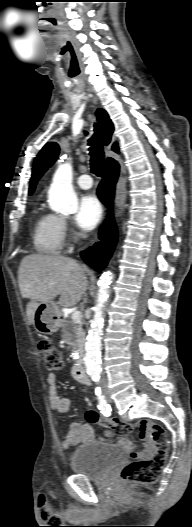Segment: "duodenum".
<instances>
[{
	"label": "duodenum",
	"mask_w": 192,
	"mask_h": 527,
	"mask_svg": "<svg viewBox=\"0 0 192 527\" xmlns=\"http://www.w3.org/2000/svg\"><path fill=\"white\" fill-rule=\"evenodd\" d=\"M75 376L77 377V379L81 383L87 384V385L90 384V379H89V377L86 374V371H85V368H84L83 364L79 363V364L76 365V367H75Z\"/></svg>",
	"instance_id": "obj_1"
}]
</instances>
